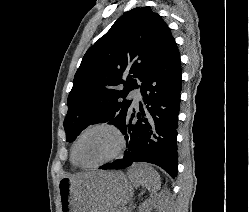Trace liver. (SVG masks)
Here are the masks:
<instances>
[{"label":"liver","instance_id":"6515ba94","mask_svg":"<svg viewBox=\"0 0 249 212\" xmlns=\"http://www.w3.org/2000/svg\"><path fill=\"white\" fill-rule=\"evenodd\" d=\"M148 168H150L148 164H133L127 176L119 172H87V174H78L77 178L90 182L91 186L98 190L105 212H110L111 208H120L129 204L134 196L133 190L139 186L147 188ZM155 182L160 188L159 176H156Z\"/></svg>","mask_w":249,"mask_h":212}]
</instances>
